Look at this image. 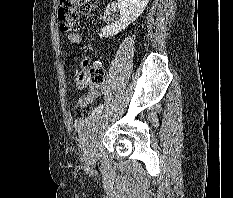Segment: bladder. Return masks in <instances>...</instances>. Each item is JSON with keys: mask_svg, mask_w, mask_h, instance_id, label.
Segmentation results:
<instances>
[{"mask_svg": "<svg viewBox=\"0 0 233 198\" xmlns=\"http://www.w3.org/2000/svg\"><path fill=\"white\" fill-rule=\"evenodd\" d=\"M98 129V118H85L77 123L76 132L80 143L89 147L92 145Z\"/></svg>", "mask_w": 233, "mask_h": 198, "instance_id": "bladder-1", "label": "bladder"}]
</instances>
